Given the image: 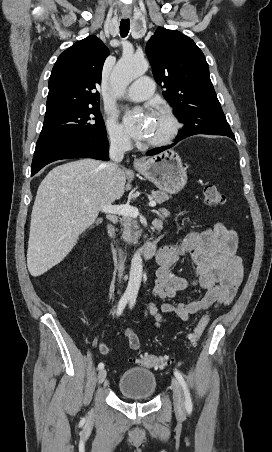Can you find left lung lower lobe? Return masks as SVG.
I'll return each instance as SVG.
<instances>
[{"mask_svg": "<svg viewBox=\"0 0 272 452\" xmlns=\"http://www.w3.org/2000/svg\"><path fill=\"white\" fill-rule=\"evenodd\" d=\"M195 134H206V133L198 131V130H193V129H184L176 137V141L182 140V139H184V138H186L188 136L195 135ZM212 135H225V136H228V137H230L232 139H235L234 134L232 133V131L231 132H226V133H221V134H212ZM169 147L167 146V147H161V148L152 149V150L147 152V155L150 156V155L158 154V153L166 150Z\"/></svg>", "mask_w": 272, "mask_h": 452, "instance_id": "obj_1", "label": "left lung lower lobe"}]
</instances>
